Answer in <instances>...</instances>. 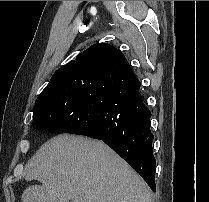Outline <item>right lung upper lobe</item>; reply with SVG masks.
Returning <instances> with one entry per match:
<instances>
[{
    "mask_svg": "<svg viewBox=\"0 0 209 202\" xmlns=\"http://www.w3.org/2000/svg\"><path fill=\"white\" fill-rule=\"evenodd\" d=\"M127 63L124 55L115 47L106 43H97L78 54L75 60L58 69L51 79L78 73L89 74L94 78L111 70L123 69Z\"/></svg>",
    "mask_w": 209,
    "mask_h": 202,
    "instance_id": "obj_1",
    "label": "right lung upper lobe"
}]
</instances>
